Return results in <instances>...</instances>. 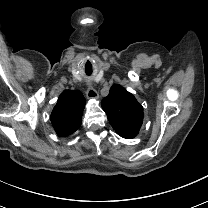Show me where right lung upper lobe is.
I'll list each match as a JSON object with an SVG mask.
<instances>
[{
	"mask_svg": "<svg viewBox=\"0 0 208 208\" xmlns=\"http://www.w3.org/2000/svg\"><path fill=\"white\" fill-rule=\"evenodd\" d=\"M85 98L78 90L63 91L54 107L50 119L56 133L66 137L74 133L82 121Z\"/></svg>",
	"mask_w": 208,
	"mask_h": 208,
	"instance_id": "right-lung-upper-lobe-1",
	"label": "right lung upper lobe"
}]
</instances>
